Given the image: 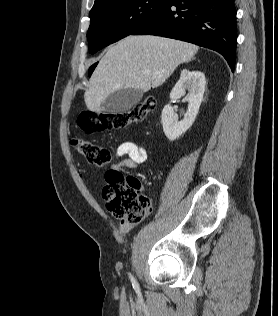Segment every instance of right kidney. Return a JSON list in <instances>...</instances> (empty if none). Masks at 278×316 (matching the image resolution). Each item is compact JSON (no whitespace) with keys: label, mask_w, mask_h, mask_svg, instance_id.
<instances>
[{"label":"right kidney","mask_w":278,"mask_h":316,"mask_svg":"<svg viewBox=\"0 0 278 316\" xmlns=\"http://www.w3.org/2000/svg\"><path fill=\"white\" fill-rule=\"evenodd\" d=\"M205 86V75L201 71H189L187 69L181 71L180 79L170 93V99L177 100L185 95V91L188 90L186 99L189 105L184 119L181 121H178L172 106L168 104L163 108L161 122L163 131L170 141L179 138L193 125L203 100Z\"/></svg>","instance_id":"1"}]
</instances>
